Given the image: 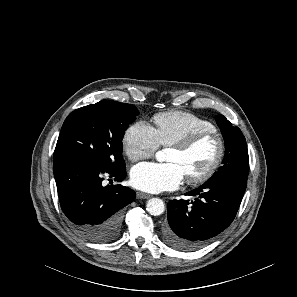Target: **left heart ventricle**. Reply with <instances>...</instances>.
Returning a JSON list of instances; mask_svg holds the SVG:
<instances>
[{"label": "left heart ventricle", "mask_w": 297, "mask_h": 297, "mask_svg": "<svg viewBox=\"0 0 297 297\" xmlns=\"http://www.w3.org/2000/svg\"><path fill=\"white\" fill-rule=\"evenodd\" d=\"M218 150L217 140L214 137H208L188 151L169 148L166 160L178 163L187 178L204 172L216 158Z\"/></svg>", "instance_id": "left-heart-ventricle-1"}]
</instances>
